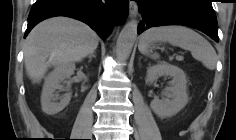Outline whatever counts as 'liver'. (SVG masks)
<instances>
[{
    "mask_svg": "<svg viewBox=\"0 0 236 140\" xmlns=\"http://www.w3.org/2000/svg\"><path fill=\"white\" fill-rule=\"evenodd\" d=\"M98 35L85 23L54 17L39 23L24 44L25 69L40 82L51 66L78 62L98 47Z\"/></svg>",
    "mask_w": 236,
    "mask_h": 140,
    "instance_id": "6515ba94",
    "label": "liver"
}]
</instances>
